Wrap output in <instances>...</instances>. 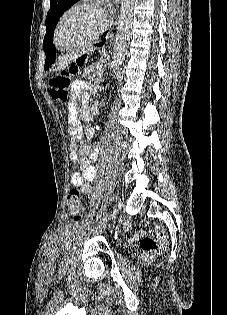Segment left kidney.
<instances>
[{
    "label": "left kidney",
    "instance_id": "5707ae66",
    "mask_svg": "<svg viewBox=\"0 0 227 315\" xmlns=\"http://www.w3.org/2000/svg\"><path fill=\"white\" fill-rule=\"evenodd\" d=\"M94 133H95L94 129H90V128L87 129V138L90 140V138L93 137Z\"/></svg>",
    "mask_w": 227,
    "mask_h": 315
}]
</instances>
